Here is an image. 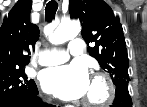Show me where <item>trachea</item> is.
Segmentation results:
<instances>
[{"instance_id": "obj_1", "label": "trachea", "mask_w": 147, "mask_h": 107, "mask_svg": "<svg viewBox=\"0 0 147 107\" xmlns=\"http://www.w3.org/2000/svg\"><path fill=\"white\" fill-rule=\"evenodd\" d=\"M57 9L58 3L55 0L49 1L45 8V18L47 20H52L53 18H55Z\"/></svg>"}]
</instances>
